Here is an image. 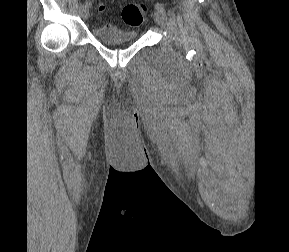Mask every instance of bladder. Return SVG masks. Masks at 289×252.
Segmentation results:
<instances>
[{"label":"bladder","mask_w":289,"mask_h":252,"mask_svg":"<svg viewBox=\"0 0 289 252\" xmlns=\"http://www.w3.org/2000/svg\"><path fill=\"white\" fill-rule=\"evenodd\" d=\"M92 32L98 40L108 45L132 43L139 37L136 31L120 29L113 25L96 26Z\"/></svg>","instance_id":"bladder-1"}]
</instances>
